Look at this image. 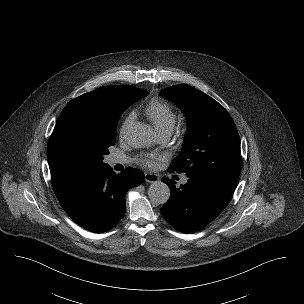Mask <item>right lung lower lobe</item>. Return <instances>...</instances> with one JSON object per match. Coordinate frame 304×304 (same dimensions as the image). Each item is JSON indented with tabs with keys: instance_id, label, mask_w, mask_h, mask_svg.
I'll use <instances>...</instances> for the list:
<instances>
[{
	"instance_id": "1",
	"label": "right lung lower lobe",
	"mask_w": 304,
	"mask_h": 304,
	"mask_svg": "<svg viewBox=\"0 0 304 304\" xmlns=\"http://www.w3.org/2000/svg\"><path fill=\"white\" fill-rule=\"evenodd\" d=\"M145 180L144 174L131 167L116 174L108 164L90 172L75 187L59 197L67 214L83 228L103 233L124 216L125 195Z\"/></svg>"
}]
</instances>
